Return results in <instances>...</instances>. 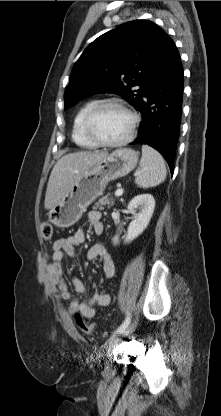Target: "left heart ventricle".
Wrapping results in <instances>:
<instances>
[{"label":"left heart ventricle","mask_w":221,"mask_h":416,"mask_svg":"<svg viewBox=\"0 0 221 416\" xmlns=\"http://www.w3.org/2000/svg\"><path fill=\"white\" fill-rule=\"evenodd\" d=\"M131 118L127 112L116 106L104 108L95 118L93 129L106 141H118L130 130Z\"/></svg>","instance_id":"left-heart-ventricle-1"}]
</instances>
